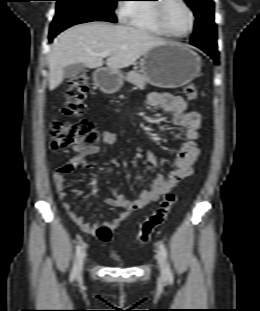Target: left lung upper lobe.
Segmentation results:
<instances>
[{
  "mask_svg": "<svg viewBox=\"0 0 260 311\" xmlns=\"http://www.w3.org/2000/svg\"><path fill=\"white\" fill-rule=\"evenodd\" d=\"M196 16L192 44L217 47V31L214 22V2L212 0H185Z\"/></svg>",
  "mask_w": 260,
  "mask_h": 311,
  "instance_id": "obj_1",
  "label": "left lung upper lobe"
}]
</instances>
